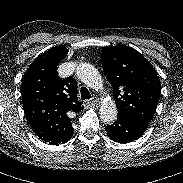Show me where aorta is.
<instances>
[{
  "label": "aorta",
  "mask_w": 183,
  "mask_h": 183,
  "mask_svg": "<svg viewBox=\"0 0 183 183\" xmlns=\"http://www.w3.org/2000/svg\"><path fill=\"white\" fill-rule=\"evenodd\" d=\"M76 74L84 84L98 90L103 86V80L98 70L89 63H80L76 68ZM117 107L111 99L103 101L100 107V119L104 123H113L117 118Z\"/></svg>",
  "instance_id": "obj_1"
}]
</instances>
